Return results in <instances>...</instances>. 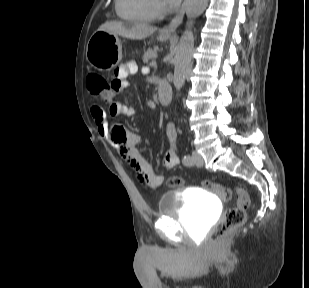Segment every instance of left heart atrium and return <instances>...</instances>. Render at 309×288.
I'll use <instances>...</instances> for the list:
<instances>
[{
	"label": "left heart atrium",
	"mask_w": 309,
	"mask_h": 288,
	"mask_svg": "<svg viewBox=\"0 0 309 288\" xmlns=\"http://www.w3.org/2000/svg\"><path fill=\"white\" fill-rule=\"evenodd\" d=\"M165 1L170 6H176L177 4H179L181 0H165Z\"/></svg>",
	"instance_id": "39dd6f15"
}]
</instances>
